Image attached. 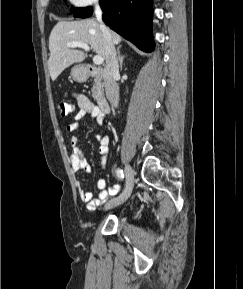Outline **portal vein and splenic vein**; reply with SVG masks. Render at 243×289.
Returning <instances> with one entry per match:
<instances>
[{"label": "portal vein and splenic vein", "mask_w": 243, "mask_h": 289, "mask_svg": "<svg viewBox=\"0 0 243 289\" xmlns=\"http://www.w3.org/2000/svg\"><path fill=\"white\" fill-rule=\"evenodd\" d=\"M67 46L71 47V48L80 47V48L84 49L85 51H90L89 45L87 43L80 42V41L69 42V43H67ZM93 62L95 65H102L104 62V59H103V57L96 55L93 58Z\"/></svg>", "instance_id": "obj_1"}]
</instances>
